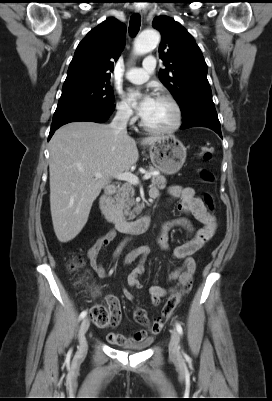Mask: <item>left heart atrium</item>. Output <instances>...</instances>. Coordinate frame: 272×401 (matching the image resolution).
<instances>
[{
	"mask_svg": "<svg viewBox=\"0 0 272 401\" xmlns=\"http://www.w3.org/2000/svg\"><path fill=\"white\" fill-rule=\"evenodd\" d=\"M154 96L149 91L130 90L127 101L137 104V112L144 117L154 102Z\"/></svg>",
	"mask_w": 272,
	"mask_h": 401,
	"instance_id": "1",
	"label": "left heart atrium"
}]
</instances>
